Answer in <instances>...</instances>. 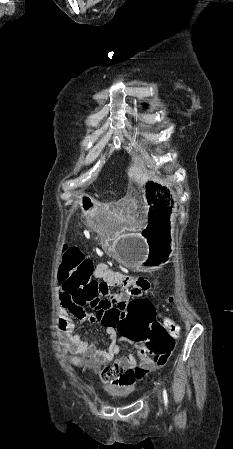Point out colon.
Segmentation results:
<instances>
[{"label": "colon", "mask_w": 233, "mask_h": 449, "mask_svg": "<svg viewBox=\"0 0 233 449\" xmlns=\"http://www.w3.org/2000/svg\"><path fill=\"white\" fill-rule=\"evenodd\" d=\"M60 276L64 291L73 303L93 313L100 326L117 328L121 338L134 343L135 349H149L154 355L171 353L179 331L176 328L166 331L155 319L156 312L147 301H128L124 308L98 307L99 298L95 296L98 281L94 277V265L77 247H66ZM168 302L172 303L173 297ZM73 362L79 361L73 359Z\"/></svg>", "instance_id": "1"}]
</instances>
